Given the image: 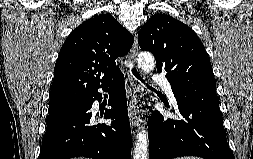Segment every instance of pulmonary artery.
Returning <instances> with one entry per match:
<instances>
[{"instance_id": "pulmonary-artery-1", "label": "pulmonary artery", "mask_w": 253, "mask_h": 159, "mask_svg": "<svg viewBox=\"0 0 253 159\" xmlns=\"http://www.w3.org/2000/svg\"><path fill=\"white\" fill-rule=\"evenodd\" d=\"M153 82L160 85L162 89L165 91V93L168 95L170 100L173 103H176V99L174 97L173 91H172V84L171 82L165 77L162 73H156L153 76Z\"/></svg>"}]
</instances>
